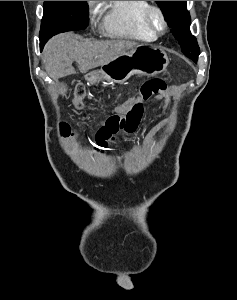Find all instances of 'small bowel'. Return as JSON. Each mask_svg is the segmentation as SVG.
Here are the masks:
<instances>
[{
    "instance_id": "obj_1",
    "label": "small bowel",
    "mask_w": 237,
    "mask_h": 300,
    "mask_svg": "<svg viewBox=\"0 0 237 300\" xmlns=\"http://www.w3.org/2000/svg\"><path fill=\"white\" fill-rule=\"evenodd\" d=\"M179 92V87L177 86H171L169 87L162 95L159 96V98H161L163 100V108L166 109L168 107V104L170 102V98L172 96H174L175 94H177ZM138 99L137 94L132 97L129 101H127L125 104L117 107L114 111L113 114H121V113H125L129 110V108L131 107V105L133 104V102ZM112 114V115H113ZM105 123V120L101 121L99 123V128L101 126H103Z\"/></svg>"
}]
</instances>
